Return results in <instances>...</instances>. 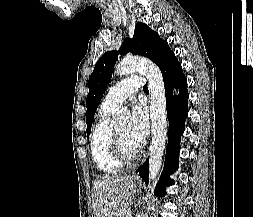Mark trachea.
Wrapping results in <instances>:
<instances>
[{"label": "trachea", "mask_w": 253, "mask_h": 217, "mask_svg": "<svg viewBox=\"0 0 253 217\" xmlns=\"http://www.w3.org/2000/svg\"><path fill=\"white\" fill-rule=\"evenodd\" d=\"M143 90H144V91H148V87H147V86H144V87H143Z\"/></svg>", "instance_id": "3493384b"}]
</instances>
